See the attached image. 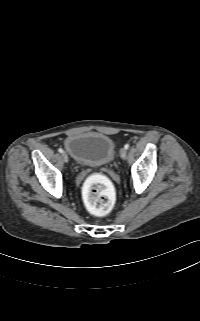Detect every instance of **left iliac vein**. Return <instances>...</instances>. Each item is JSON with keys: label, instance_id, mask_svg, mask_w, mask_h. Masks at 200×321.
<instances>
[{"label": "left iliac vein", "instance_id": "left-iliac-vein-1", "mask_svg": "<svg viewBox=\"0 0 200 321\" xmlns=\"http://www.w3.org/2000/svg\"><path fill=\"white\" fill-rule=\"evenodd\" d=\"M120 156L122 159H125L127 157V150L125 148H122L120 150Z\"/></svg>", "mask_w": 200, "mask_h": 321}]
</instances>
